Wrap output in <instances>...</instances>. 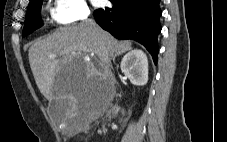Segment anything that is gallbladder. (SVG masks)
<instances>
[{
	"mask_svg": "<svg viewBox=\"0 0 227 142\" xmlns=\"http://www.w3.org/2000/svg\"><path fill=\"white\" fill-rule=\"evenodd\" d=\"M70 108L69 102L66 99H55L48 106V114L56 123L62 122Z\"/></svg>",
	"mask_w": 227,
	"mask_h": 142,
	"instance_id": "gallbladder-1",
	"label": "gallbladder"
}]
</instances>
